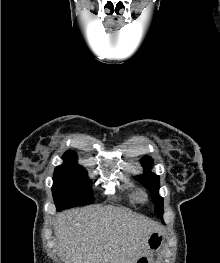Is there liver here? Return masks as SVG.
<instances>
[{"instance_id": "1", "label": "liver", "mask_w": 220, "mask_h": 263, "mask_svg": "<svg viewBox=\"0 0 220 263\" xmlns=\"http://www.w3.org/2000/svg\"><path fill=\"white\" fill-rule=\"evenodd\" d=\"M159 230L155 221L112 205L66 210L54 220L64 263H135Z\"/></svg>"}]
</instances>
